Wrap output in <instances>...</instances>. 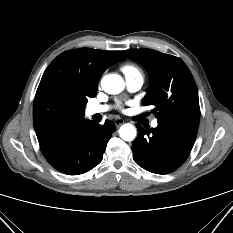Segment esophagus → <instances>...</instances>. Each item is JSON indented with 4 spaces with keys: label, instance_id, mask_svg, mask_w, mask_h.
Returning a JSON list of instances; mask_svg holds the SVG:
<instances>
[{
    "label": "esophagus",
    "instance_id": "obj_1",
    "mask_svg": "<svg viewBox=\"0 0 233 233\" xmlns=\"http://www.w3.org/2000/svg\"><path fill=\"white\" fill-rule=\"evenodd\" d=\"M114 123L117 127H119L120 125H122L124 123V120L122 118H116L114 120Z\"/></svg>",
    "mask_w": 233,
    "mask_h": 233
}]
</instances>
